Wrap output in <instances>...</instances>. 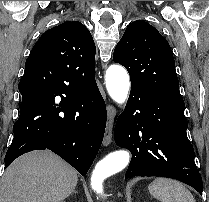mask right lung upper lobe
<instances>
[{"label": "right lung upper lobe", "instance_id": "obj_1", "mask_svg": "<svg viewBox=\"0 0 209 202\" xmlns=\"http://www.w3.org/2000/svg\"><path fill=\"white\" fill-rule=\"evenodd\" d=\"M96 48L90 31L68 21L47 30L32 48L25 70L46 69L65 87L84 90L95 81Z\"/></svg>", "mask_w": 209, "mask_h": 202}]
</instances>
